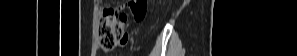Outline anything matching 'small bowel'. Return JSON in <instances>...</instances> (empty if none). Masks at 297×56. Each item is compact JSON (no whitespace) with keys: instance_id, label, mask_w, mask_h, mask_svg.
Listing matches in <instances>:
<instances>
[{"instance_id":"obj_1","label":"small bowel","mask_w":297,"mask_h":56,"mask_svg":"<svg viewBox=\"0 0 297 56\" xmlns=\"http://www.w3.org/2000/svg\"><path fill=\"white\" fill-rule=\"evenodd\" d=\"M131 33H121L119 36L120 49H127L128 41H130Z\"/></svg>"}]
</instances>
